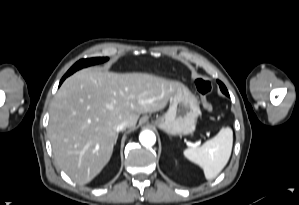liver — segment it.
Returning a JSON list of instances; mask_svg holds the SVG:
<instances>
[{
  "mask_svg": "<svg viewBox=\"0 0 299 205\" xmlns=\"http://www.w3.org/2000/svg\"><path fill=\"white\" fill-rule=\"evenodd\" d=\"M182 84L147 73L82 69L50 104L49 138L60 168L76 183L92 181L109 162L115 127L133 129L140 114L162 110Z\"/></svg>",
  "mask_w": 299,
  "mask_h": 205,
  "instance_id": "1",
  "label": "liver"
}]
</instances>
